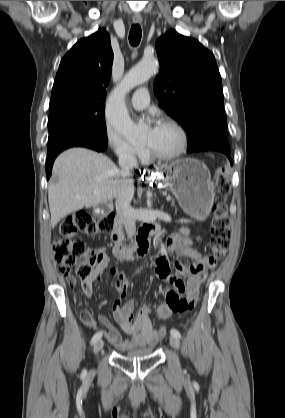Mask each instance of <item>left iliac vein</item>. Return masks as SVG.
<instances>
[{"instance_id": "4c4485c4", "label": "left iliac vein", "mask_w": 285, "mask_h": 418, "mask_svg": "<svg viewBox=\"0 0 285 418\" xmlns=\"http://www.w3.org/2000/svg\"><path fill=\"white\" fill-rule=\"evenodd\" d=\"M170 344L175 349H179V347H180V342H179L178 338H176L174 336L170 337Z\"/></svg>"}]
</instances>
